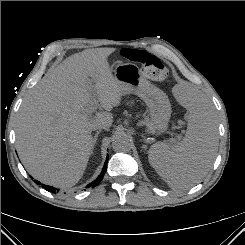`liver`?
<instances>
[{
	"label": "liver",
	"instance_id": "liver-1",
	"mask_svg": "<svg viewBox=\"0 0 245 245\" xmlns=\"http://www.w3.org/2000/svg\"><path fill=\"white\" fill-rule=\"evenodd\" d=\"M115 48L87 49L52 67L23 100L16 121V149L37 180L69 188L83 176L93 150L95 124L108 129L110 111L123 96L108 56ZM97 99L106 111L93 114Z\"/></svg>",
	"mask_w": 245,
	"mask_h": 245
}]
</instances>
